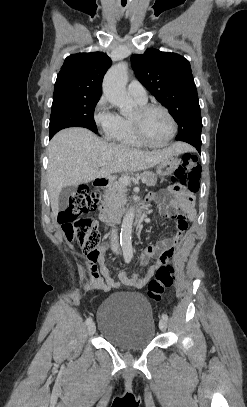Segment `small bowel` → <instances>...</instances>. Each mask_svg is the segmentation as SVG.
Wrapping results in <instances>:
<instances>
[{"instance_id":"1","label":"small bowel","mask_w":247,"mask_h":407,"mask_svg":"<svg viewBox=\"0 0 247 407\" xmlns=\"http://www.w3.org/2000/svg\"><path fill=\"white\" fill-rule=\"evenodd\" d=\"M169 194V203L161 204L159 212L162 216L175 220L174 228L167 238L147 246L142 251L140 262L146 266L143 275L121 272L119 280H113L105 265V252L109 248L106 243L97 249L94 256L88 257L86 269L91 275V281L86 285L87 290L109 291L121 285L142 288L148 284L154 272L170 260L188 228V221L194 218V209L190 201L178 195L176 188L169 190ZM163 199L162 193L155 192L151 195L153 201L159 202Z\"/></svg>"}]
</instances>
